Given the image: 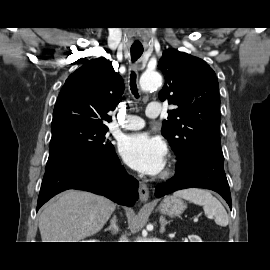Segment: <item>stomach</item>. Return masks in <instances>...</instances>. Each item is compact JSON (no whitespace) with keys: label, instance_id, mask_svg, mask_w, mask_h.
Instances as JSON below:
<instances>
[{"label":"stomach","instance_id":"obj_1","mask_svg":"<svg viewBox=\"0 0 270 270\" xmlns=\"http://www.w3.org/2000/svg\"><path fill=\"white\" fill-rule=\"evenodd\" d=\"M186 206L184 202L175 196H168L163 199L160 203L158 209L162 214L169 215V216H178L181 215Z\"/></svg>","mask_w":270,"mask_h":270}]
</instances>
